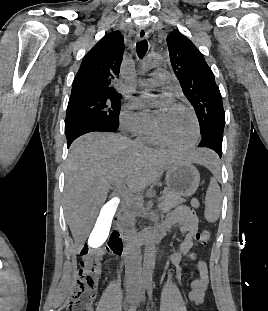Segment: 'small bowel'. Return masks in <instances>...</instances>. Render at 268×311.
<instances>
[{"instance_id":"1","label":"small bowel","mask_w":268,"mask_h":311,"mask_svg":"<svg viewBox=\"0 0 268 311\" xmlns=\"http://www.w3.org/2000/svg\"><path fill=\"white\" fill-rule=\"evenodd\" d=\"M178 225L184 238L179 244L178 249L171 254V262L178 267L177 278H180L183 269L180 264L183 258L197 259V255L192 252L195 244L196 235L198 233V217L196 213L189 207L182 206L172 211L166 220L157 226V229L170 231L174 226ZM198 277L191 282V290L189 292V300L194 305H199L205 298V293L209 284L208 267L206 262L199 260L196 264Z\"/></svg>"}]
</instances>
